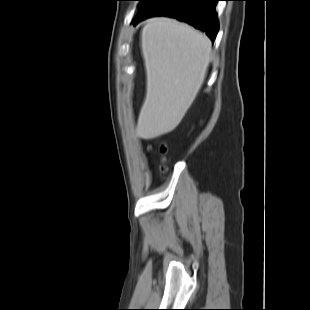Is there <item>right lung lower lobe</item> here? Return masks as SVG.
I'll return each mask as SVG.
<instances>
[{
    "label": "right lung lower lobe",
    "instance_id": "right-lung-lower-lobe-1",
    "mask_svg": "<svg viewBox=\"0 0 310 310\" xmlns=\"http://www.w3.org/2000/svg\"><path fill=\"white\" fill-rule=\"evenodd\" d=\"M218 0H160L149 8L139 11L133 23L151 16H170L187 22L206 32L214 42L219 24L216 14Z\"/></svg>",
    "mask_w": 310,
    "mask_h": 310
}]
</instances>
